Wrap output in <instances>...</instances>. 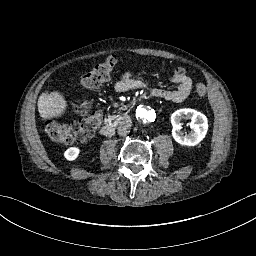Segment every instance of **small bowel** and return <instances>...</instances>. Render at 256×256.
Returning a JSON list of instances; mask_svg holds the SVG:
<instances>
[{"label": "small bowel", "mask_w": 256, "mask_h": 256, "mask_svg": "<svg viewBox=\"0 0 256 256\" xmlns=\"http://www.w3.org/2000/svg\"><path fill=\"white\" fill-rule=\"evenodd\" d=\"M171 81L177 84L175 89H151L145 82L134 79L131 73L126 72L115 83V89L120 92L130 90H149L151 95L173 102L185 100L193 89V82L187 75L172 76Z\"/></svg>", "instance_id": "c3829d8e"}]
</instances>
